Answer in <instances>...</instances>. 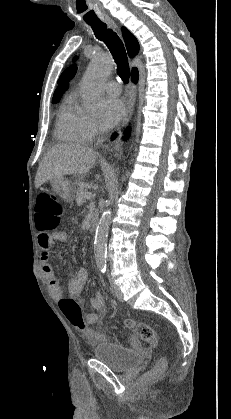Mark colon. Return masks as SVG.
Instances as JSON below:
<instances>
[{"label": "colon", "instance_id": "5ec220e1", "mask_svg": "<svg viewBox=\"0 0 231 419\" xmlns=\"http://www.w3.org/2000/svg\"><path fill=\"white\" fill-rule=\"evenodd\" d=\"M63 217V208L58 198L53 192L41 193L36 202L35 221L37 229L40 232H50L55 230L61 223ZM59 307L73 327L82 332L88 341H94L97 333L87 327L82 316L80 304L73 298H62L59 301ZM125 326L131 330L142 341L158 347L159 340L154 329L145 322H135L131 319L125 321ZM165 366V360L160 358L153 368V372L161 371Z\"/></svg>", "mask_w": 231, "mask_h": 419}]
</instances>
